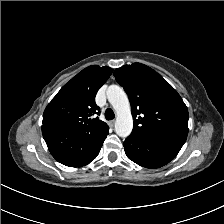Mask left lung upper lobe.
Here are the masks:
<instances>
[{"instance_id": "left-lung-upper-lobe-1", "label": "left lung upper lobe", "mask_w": 224, "mask_h": 224, "mask_svg": "<svg viewBox=\"0 0 224 224\" xmlns=\"http://www.w3.org/2000/svg\"><path fill=\"white\" fill-rule=\"evenodd\" d=\"M128 94L134 119L132 134L183 146L188 135V109L177 91L150 67L133 63L114 71Z\"/></svg>"}]
</instances>
